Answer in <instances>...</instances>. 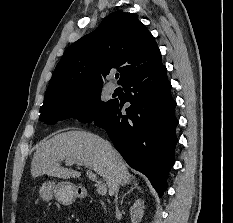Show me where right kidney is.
<instances>
[{"label": "right kidney", "instance_id": "obj_1", "mask_svg": "<svg viewBox=\"0 0 233 223\" xmlns=\"http://www.w3.org/2000/svg\"><path fill=\"white\" fill-rule=\"evenodd\" d=\"M144 201L143 199H136L135 203L130 207V215L132 223H139L143 217L144 211Z\"/></svg>", "mask_w": 233, "mask_h": 223}]
</instances>
